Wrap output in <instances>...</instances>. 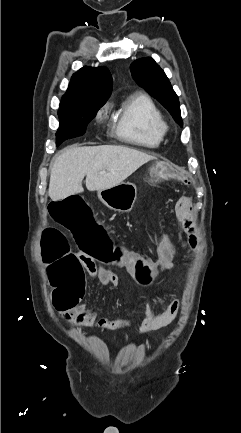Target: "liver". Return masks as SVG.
I'll return each instance as SVG.
<instances>
[{"mask_svg": "<svg viewBox=\"0 0 241 433\" xmlns=\"http://www.w3.org/2000/svg\"><path fill=\"white\" fill-rule=\"evenodd\" d=\"M153 159L154 156L122 146L66 148L51 165L48 194L56 201L82 193L84 176L89 191L109 189Z\"/></svg>", "mask_w": 241, "mask_h": 433, "instance_id": "obj_1", "label": "liver"}]
</instances>
